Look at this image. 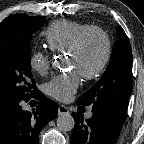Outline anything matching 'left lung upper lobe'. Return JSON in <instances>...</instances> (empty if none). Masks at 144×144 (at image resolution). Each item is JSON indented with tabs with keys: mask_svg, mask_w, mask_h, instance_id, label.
I'll list each match as a JSON object with an SVG mask.
<instances>
[{
	"mask_svg": "<svg viewBox=\"0 0 144 144\" xmlns=\"http://www.w3.org/2000/svg\"><path fill=\"white\" fill-rule=\"evenodd\" d=\"M118 40L112 50L111 61L100 80L78 100V105L108 107L126 116L133 87L132 53L129 39L121 26L117 29Z\"/></svg>",
	"mask_w": 144,
	"mask_h": 144,
	"instance_id": "5c2ea615",
	"label": "left lung upper lobe"
}]
</instances>
